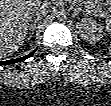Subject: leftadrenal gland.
Returning a JSON list of instances; mask_svg holds the SVG:
<instances>
[{"instance_id": "left-adrenal-gland-1", "label": "left adrenal gland", "mask_w": 111, "mask_h": 106, "mask_svg": "<svg viewBox=\"0 0 111 106\" xmlns=\"http://www.w3.org/2000/svg\"><path fill=\"white\" fill-rule=\"evenodd\" d=\"M70 9L74 11V15H78L80 12L85 13V11L81 7H74L73 5L70 6Z\"/></svg>"}]
</instances>
